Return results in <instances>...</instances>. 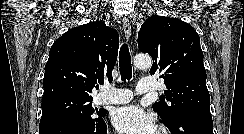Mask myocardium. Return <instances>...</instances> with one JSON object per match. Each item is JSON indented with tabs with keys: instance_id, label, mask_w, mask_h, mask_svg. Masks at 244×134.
<instances>
[{
	"instance_id": "myocardium-1",
	"label": "myocardium",
	"mask_w": 244,
	"mask_h": 134,
	"mask_svg": "<svg viewBox=\"0 0 244 134\" xmlns=\"http://www.w3.org/2000/svg\"><path fill=\"white\" fill-rule=\"evenodd\" d=\"M157 134H170L169 131L164 127H159L157 129Z\"/></svg>"
}]
</instances>
